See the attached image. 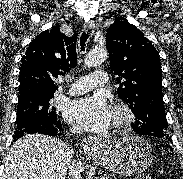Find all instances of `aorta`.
Here are the masks:
<instances>
[{"mask_svg":"<svg viewBox=\"0 0 183 179\" xmlns=\"http://www.w3.org/2000/svg\"><path fill=\"white\" fill-rule=\"evenodd\" d=\"M107 58L106 49H94L85 56L84 64L88 67H94L103 63Z\"/></svg>","mask_w":183,"mask_h":179,"instance_id":"1","label":"aorta"}]
</instances>
